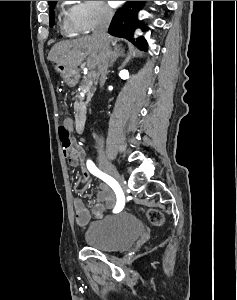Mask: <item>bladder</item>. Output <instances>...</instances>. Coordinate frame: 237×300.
I'll return each mask as SVG.
<instances>
[{"label":"bladder","instance_id":"31cf9c89","mask_svg":"<svg viewBox=\"0 0 237 300\" xmlns=\"http://www.w3.org/2000/svg\"><path fill=\"white\" fill-rule=\"evenodd\" d=\"M143 226L130 212L108 215L91 222L84 231V241L101 251H120L129 248L141 235Z\"/></svg>","mask_w":237,"mask_h":300}]
</instances>
